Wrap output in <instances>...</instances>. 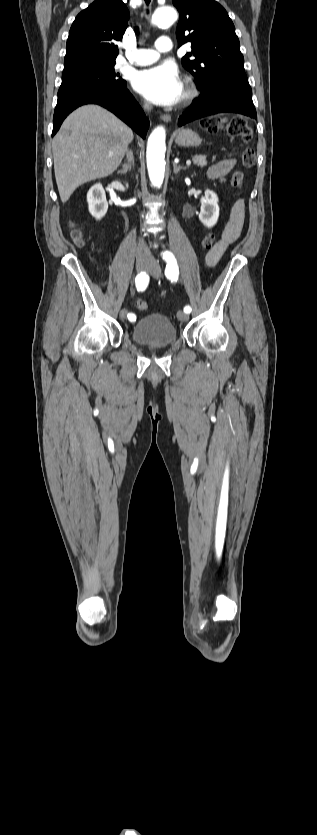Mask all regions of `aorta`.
I'll return each instance as SVG.
<instances>
[{
    "label": "aorta",
    "mask_w": 317,
    "mask_h": 835,
    "mask_svg": "<svg viewBox=\"0 0 317 835\" xmlns=\"http://www.w3.org/2000/svg\"><path fill=\"white\" fill-rule=\"evenodd\" d=\"M177 19V12L171 6L159 7L152 16L155 25H171ZM166 133L163 126L156 127L147 142L146 160L149 179L153 186L161 187L165 176Z\"/></svg>",
    "instance_id": "aorta-1"
}]
</instances>
